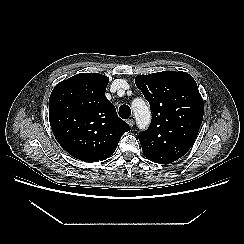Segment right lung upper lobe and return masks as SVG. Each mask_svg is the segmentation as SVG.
<instances>
[{"label": "right lung upper lobe", "mask_w": 244, "mask_h": 244, "mask_svg": "<svg viewBox=\"0 0 244 244\" xmlns=\"http://www.w3.org/2000/svg\"><path fill=\"white\" fill-rule=\"evenodd\" d=\"M109 78L80 73L58 83L49 98V121L59 144L74 158L103 161L130 127L106 98Z\"/></svg>", "instance_id": "1"}]
</instances>
